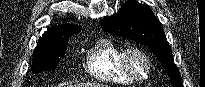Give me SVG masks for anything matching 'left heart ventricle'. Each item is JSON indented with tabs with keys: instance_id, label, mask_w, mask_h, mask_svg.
I'll list each match as a JSON object with an SVG mask.
<instances>
[{
	"instance_id": "b2bd125f",
	"label": "left heart ventricle",
	"mask_w": 205,
	"mask_h": 87,
	"mask_svg": "<svg viewBox=\"0 0 205 87\" xmlns=\"http://www.w3.org/2000/svg\"><path fill=\"white\" fill-rule=\"evenodd\" d=\"M132 70L139 76H144L147 71V65L143 58L138 55H132L130 58Z\"/></svg>"
}]
</instances>
